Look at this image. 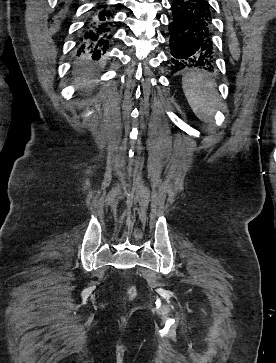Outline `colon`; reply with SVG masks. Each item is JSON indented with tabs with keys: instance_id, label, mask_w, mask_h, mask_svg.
<instances>
[{
	"instance_id": "5ec220e1",
	"label": "colon",
	"mask_w": 276,
	"mask_h": 363,
	"mask_svg": "<svg viewBox=\"0 0 276 363\" xmlns=\"http://www.w3.org/2000/svg\"><path fill=\"white\" fill-rule=\"evenodd\" d=\"M135 294H136V290H135V288H134L133 286H130V287L128 288V290H127V297H128L129 299H131V298H133V297L135 296Z\"/></svg>"
}]
</instances>
